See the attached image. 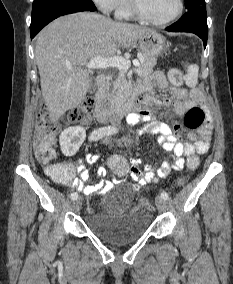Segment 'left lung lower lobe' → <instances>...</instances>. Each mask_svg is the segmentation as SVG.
I'll return each mask as SVG.
<instances>
[{
    "label": "left lung lower lobe",
    "instance_id": "left-lung-lower-lobe-1",
    "mask_svg": "<svg viewBox=\"0 0 233 284\" xmlns=\"http://www.w3.org/2000/svg\"><path fill=\"white\" fill-rule=\"evenodd\" d=\"M166 30L169 32L195 33L203 40L204 47H206L208 38V27L205 4L192 8L176 23L167 27Z\"/></svg>",
    "mask_w": 233,
    "mask_h": 284
}]
</instances>
